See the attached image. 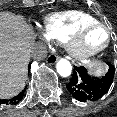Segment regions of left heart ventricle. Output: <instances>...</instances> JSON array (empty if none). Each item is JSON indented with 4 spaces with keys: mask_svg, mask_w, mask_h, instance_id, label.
<instances>
[{
    "mask_svg": "<svg viewBox=\"0 0 117 117\" xmlns=\"http://www.w3.org/2000/svg\"><path fill=\"white\" fill-rule=\"evenodd\" d=\"M107 34L102 28H93L88 31L81 41V46L86 49L97 48L104 44Z\"/></svg>",
    "mask_w": 117,
    "mask_h": 117,
    "instance_id": "b2bd125f",
    "label": "left heart ventricle"
}]
</instances>
